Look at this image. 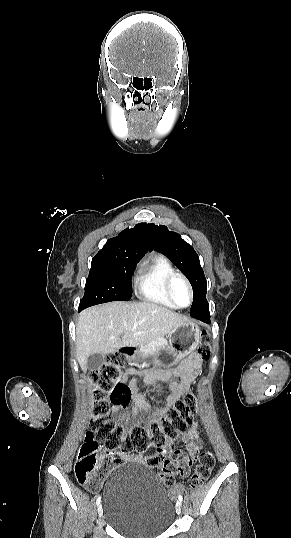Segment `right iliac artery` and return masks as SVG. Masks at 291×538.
<instances>
[{
  "label": "right iliac artery",
  "instance_id": "obj_1",
  "mask_svg": "<svg viewBox=\"0 0 291 538\" xmlns=\"http://www.w3.org/2000/svg\"><path fill=\"white\" fill-rule=\"evenodd\" d=\"M100 500H101V497H100V496H98V497H97V500H96V504H97V505H99V504H100Z\"/></svg>",
  "mask_w": 291,
  "mask_h": 538
}]
</instances>
